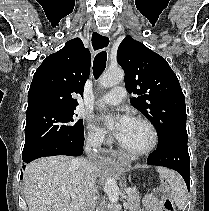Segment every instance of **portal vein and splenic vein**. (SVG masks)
Returning a JSON list of instances; mask_svg holds the SVG:
<instances>
[{"label":"portal vein and splenic vein","instance_id":"1","mask_svg":"<svg viewBox=\"0 0 209 211\" xmlns=\"http://www.w3.org/2000/svg\"><path fill=\"white\" fill-rule=\"evenodd\" d=\"M129 192H131V188L126 190V193L128 194Z\"/></svg>","mask_w":209,"mask_h":211}]
</instances>
